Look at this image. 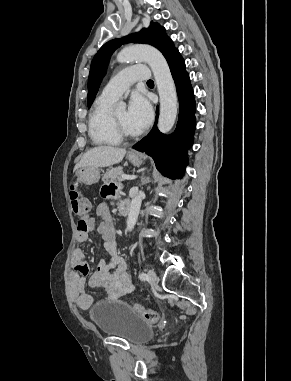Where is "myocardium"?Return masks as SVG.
Masks as SVG:
<instances>
[{"label":"myocardium","instance_id":"myocardium-1","mask_svg":"<svg viewBox=\"0 0 291 381\" xmlns=\"http://www.w3.org/2000/svg\"><path fill=\"white\" fill-rule=\"evenodd\" d=\"M111 123H112V127H113L114 132L121 139H135V138L139 137V135H140L139 132L136 134H130V133L126 132L124 130V128L121 126V124L119 123L115 113L111 114Z\"/></svg>","mask_w":291,"mask_h":381}]
</instances>
